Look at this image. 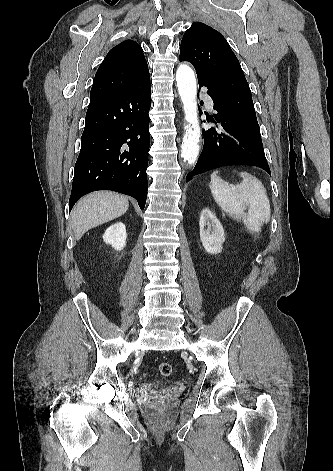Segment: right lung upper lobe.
Here are the masks:
<instances>
[{"label": "right lung upper lobe", "instance_id": "obj_1", "mask_svg": "<svg viewBox=\"0 0 333 471\" xmlns=\"http://www.w3.org/2000/svg\"><path fill=\"white\" fill-rule=\"evenodd\" d=\"M149 76L143 49L132 40L112 48L95 75L90 104L126 92Z\"/></svg>", "mask_w": 333, "mask_h": 471}]
</instances>
